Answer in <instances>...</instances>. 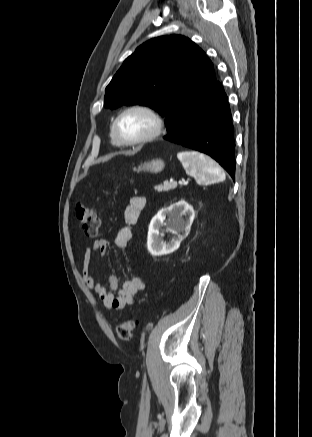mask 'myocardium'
<instances>
[{"instance_id":"1","label":"myocardium","mask_w":312,"mask_h":437,"mask_svg":"<svg viewBox=\"0 0 312 437\" xmlns=\"http://www.w3.org/2000/svg\"><path fill=\"white\" fill-rule=\"evenodd\" d=\"M132 111H141V112L148 114L154 121V128L148 135H146L142 138H139L136 140H127L120 132L119 125H120V121H121L122 117L125 114L132 112ZM113 129H114V132H115L118 140L120 141V143L122 145L136 146V145L148 143V142L156 139L157 137H159L164 129V120L161 117V115L152 107L147 106V105H143V104H135V105H130L119 112V114L116 116V118L113 122Z\"/></svg>"}]
</instances>
